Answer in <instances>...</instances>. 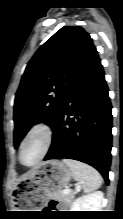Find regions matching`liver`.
Here are the masks:
<instances>
[{"label":"liver","mask_w":123,"mask_h":219,"mask_svg":"<svg viewBox=\"0 0 123 219\" xmlns=\"http://www.w3.org/2000/svg\"><path fill=\"white\" fill-rule=\"evenodd\" d=\"M31 174V172L26 176V178Z\"/></svg>","instance_id":"1"}]
</instances>
